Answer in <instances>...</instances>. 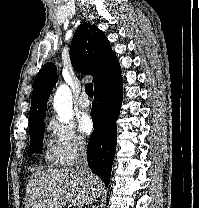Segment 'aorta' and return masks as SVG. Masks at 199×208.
Returning a JSON list of instances; mask_svg holds the SVG:
<instances>
[{"label": "aorta", "instance_id": "obj_1", "mask_svg": "<svg viewBox=\"0 0 199 208\" xmlns=\"http://www.w3.org/2000/svg\"><path fill=\"white\" fill-rule=\"evenodd\" d=\"M53 107L61 123H68L73 118L72 94L68 86H59L53 99Z\"/></svg>", "mask_w": 199, "mask_h": 208}]
</instances>
